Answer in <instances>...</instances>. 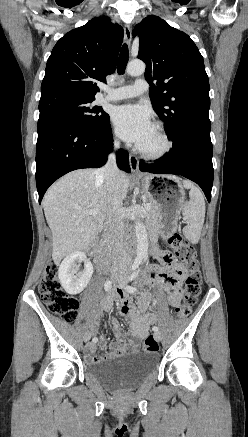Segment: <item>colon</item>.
Returning a JSON list of instances; mask_svg holds the SVG:
<instances>
[{"mask_svg":"<svg viewBox=\"0 0 248 437\" xmlns=\"http://www.w3.org/2000/svg\"><path fill=\"white\" fill-rule=\"evenodd\" d=\"M169 244L175 250L176 256L186 265L189 274L186 279L185 295L182 303L176 308L179 318H186L196 304L202 290V276L195 247L181 234L174 233L169 237ZM39 293L48 309L66 322L75 320L78 311V300L67 294L58 278V265L50 262L39 283ZM158 341L148 335L144 342V351H158Z\"/></svg>","mask_w":248,"mask_h":437,"instance_id":"obj_1","label":"colon"}]
</instances>
